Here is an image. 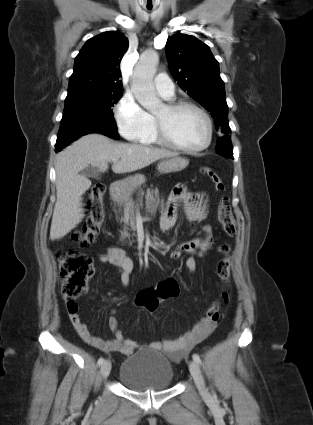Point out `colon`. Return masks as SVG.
<instances>
[{
    "instance_id": "5ec220e1",
    "label": "colon",
    "mask_w": 313,
    "mask_h": 425,
    "mask_svg": "<svg viewBox=\"0 0 313 425\" xmlns=\"http://www.w3.org/2000/svg\"><path fill=\"white\" fill-rule=\"evenodd\" d=\"M202 173L211 179L218 192H224L226 190L225 184L215 170L204 167L202 168ZM105 190V185L102 183H96L90 190L89 216L83 228L74 235V242L79 246L90 245L100 232L105 218L103 207ZM217 217L224 234L227 237L234 236L236 227L229 206V197L226 195L221 196L218 200ZM208 249L209 247L203 248L200 251V255H205ZM218 251L222 254V258L217 262L216 275L226 288L230 279L229 244H220ZM58 261L60 275L63 280V296L67 301L74 302L75 299L82 296L87 290L88 281L94 273L93 261L88 255L75 250L61 251L58 255ZM179 291L177 281L173 278H168L155 287L140 291L136 296V303L146 311L154 312L160 302L177 296ZM221 298L225 303L228 302L229 293L226 289L222 291ZM218 307V302H215L206 313V319L211 324H216L219 319Z\"/></svg>"
}]
</instances>
